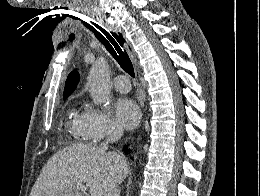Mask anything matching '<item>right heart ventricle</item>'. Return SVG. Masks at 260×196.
<instances>
[{
  "mask_svg": "<svg viewBox=\"0 0 260 196\" xmlns=\"http://www.w3.org/2000/svg\"><path fill=\"white\" fill-rule=\"evenodd\" d=\"M80 117L81 116L77 115V113L74 114V119H73L74 126H78ZM79 143H86V142H79ZM50 192H71V190H50Z\"/></svg>",
  "mask_w": 260,
  "mask_h": 196,
  "instance_id": "e07e8e85",
  "label": "right heart ventricle"
}]
</instances>
